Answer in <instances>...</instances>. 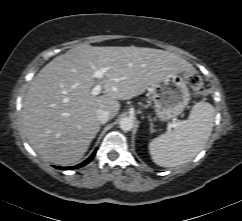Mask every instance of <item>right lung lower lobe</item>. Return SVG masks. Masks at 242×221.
Returning <instances> with one entry per match:
<instances>
[{"label":"right lung lower lobe","instance_id":"98d812e1","mask_svg":"<svg viewBox=\"0 0 242 221\" xmlns=\"http://www.w3.org/2000/svg\"><path fill=\"white\" fill-rule=\"evenodd\" d=\"M95 153H96V150L93 152V154L87 160H85L84 162L80 163L77 166H74V167H56V168H60V169H64V170H70V169H74V168H80V167L88 164L93 159V157L95 156Z\"/></svg>","mask_w":242,"mask_h":221}]
</instances>
